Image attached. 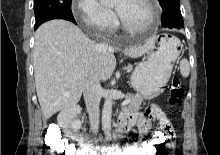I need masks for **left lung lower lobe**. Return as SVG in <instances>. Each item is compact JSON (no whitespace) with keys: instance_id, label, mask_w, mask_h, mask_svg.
Here are the masks:
<instances>
[{"instance_id":"1","label":"left lung lower lobe","mask_w":220,"mask_h":155,"mask_svg":"<svg viewBox=\"0 0 220 155\" xmlns=\"http://www.w3.org/2000/svg\"><path fill=\"white\" fill-rule=\"evenodd\" d=\"M161 24L163 27L167 28L180 29L184 27L180 7H173L163 10Z\"/></svg>"}]
</instances>
